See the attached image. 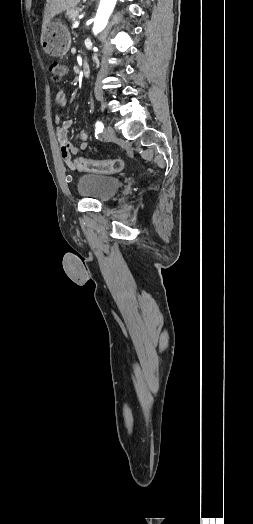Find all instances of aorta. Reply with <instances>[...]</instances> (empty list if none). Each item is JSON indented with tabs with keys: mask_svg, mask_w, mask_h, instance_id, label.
<instances>
[{
	"mask_svg": "<svg viewBox=\"0 0 253 524\" xmlns=\"http://www.w3.org/2000/svg\"><path fill=\"white\" fill-rule=\"evenodd\" d=\"M117 0H101L94 21L93 33L98 34L106 27Z\"/></svg>",
	"mask_w": 253,
	"mask_h": 524,
	"instance_id": "1",
	"label": "aorta"
}]
</instances>
